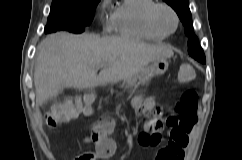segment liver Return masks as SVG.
<instances>
[{
    "mask_svg": "<svg viewBox=\"0 0 242 160\" xmlns=\"http://www.w3.org/2000/svg\"><path fill=\"white\" fill-rule=\"evenodd\" d=\"M173 54L169 46L125 37L57 32L38 46L34 71L36 101L41 105L56 98L65 87L87 89L132 79L150 63ZM101 64L107 67L97 75L95 67Z\"/></svg>",
    "mask_w": 242,
    "mask_h": 160,
    "instance_id": "obj_1",
    "label": "liver"
}]
</instances>
